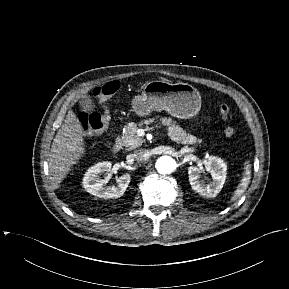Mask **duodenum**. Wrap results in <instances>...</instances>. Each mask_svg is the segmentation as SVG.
<instances>
[{"mask_svg": "<svg viewBox=\"0 0 289 289\" xmlns=\"http://www.w3.org/2000/svg\"><path fill=\"white\" fill-rule=\"evenodd\" d=\"M122 147H123L122 141L119 138H117L113 143L112 152L118 153L122 149Z\"/></svg>", "mask_w": 289, "mask_h": 289, "instance_id": "duodenum-1", "label": "duodenum"}]
</instances>
